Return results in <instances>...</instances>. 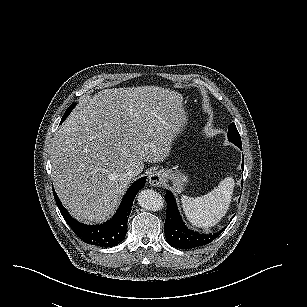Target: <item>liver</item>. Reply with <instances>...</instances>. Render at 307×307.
I'll list each match as a JSON object with an SVG mask.
<instances>
[{"label": "liver", "instance_id": "6515ba94", "mask_svg": "<svg viewBox=\"0 0 307 307\" xmlns=\"http://www.w3.org/2000/svg\"><path fill=\"white\" fill-rule=\"evenodd\" d=\"M188 121L183 96L157 86L104 89L83 98L57 130L50 158L54 189L71 216L102 223L118 208L144 162L171 151Z\"/></svg>", "mask_w": 307, "mask_h": 307}]
</instances>
